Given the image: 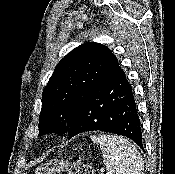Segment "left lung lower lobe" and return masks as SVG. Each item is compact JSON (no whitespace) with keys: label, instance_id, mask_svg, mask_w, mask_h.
<instances>
[{"label":"left lung lower lobe","instance_id":"1","mask_svg":"<svg viewBox=\"0 0 175 174\" xmlns=\"http://www.w3.org/2000/svg\"><path fill=\"white\" fill-rule=\"evenodd\" d=\"M96 130L126 136L144 151L132 87L119 65L82 97L67 132L72 138L79 133Z\"/></svg>","mask_w":175,"mask_h":174}]
</instances>
